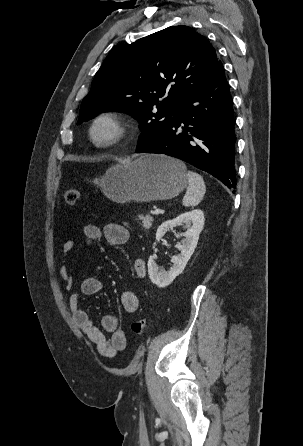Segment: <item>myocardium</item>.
<instances>
[{
  "label": "myocardium",
  "mask_w": 303,
  "mask_h": 446,
  "mask_svg": "<svg viewBox=\"0 0 303 446\" xmlns=\"http://www.w3.org/2000/svg\"><path fill=\"white\" fill-rule=\"evenodd\" d=\"M100 125H107L111 129L110 135L104 140L95 137V130ZM129 133V125L122 114L107 110L97 114L90 122L87 135L90 143L100 149L113 147L126 139Z\"/></svg>",
  "instance_id": "f54148a6"
}]
</instances>
